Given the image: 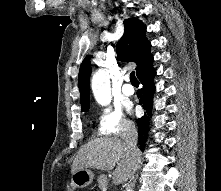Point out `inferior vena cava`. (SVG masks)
Wrapping results in <instances>:
<instances>
[{"instance_id": "1", "label": "inferior vena cava", "mask_w": 221, "mask_h": 191, "mask_svg": "<svg viewBox=\"0 0 221 191\" xmlns=\"http://www.w3.org/2000/svg\"><path fill=\"white\" fill-rule=\"evenodd\" d=\"M138 134L134 127H130L124 136V141L129 150V153L136 161L140 160V150L137 147Z\"/></svg>"}]
</instances>
